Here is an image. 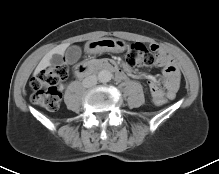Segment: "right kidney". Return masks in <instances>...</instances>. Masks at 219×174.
I'll list each match as a JSON object with an SVG mask.
<instances>
[{
  "mask_svg": "<svg viewBox=\"0 0 219 174\" xmlns=\"http://www.w3.org/2000/svg\"><path fill=\"white\" fill-rule=\"evenodd\" d=\"M59 90L60 91L63 90V85H60Z\"/></svg>",
  "mask_w": 219,
  "mask_h": 174,
  "instance_id": "obj_1",
  "label": "right kidney"
}]
</instances>
